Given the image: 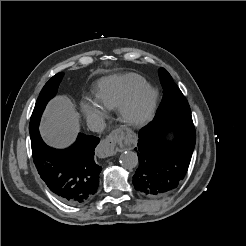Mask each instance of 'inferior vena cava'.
Instances as JSON below:
<instances>
[{
  "mask_svg": "<svg viewBox=\"0 0 246 246\" xmlns=\"http://www.w3.org/2000/svg\"><path fill=\"white\" fill-rule=\"evenodd\" d=\"M87 126L91 131L100 133L105 129V121L102 117L90 116L87 119Z\"/></svg>",
  "mask_w": 246,
  "mask_h": 246,
  "instance_id": "602c4592",
  "label": "inferior vena cava"
}]
</instances>
